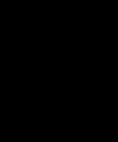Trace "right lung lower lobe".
Returning a JSON list of instances; mask_svg holds the SVG:
<instances>
[{
    "label": "right lung lower lobe",
    "instance_id": "98d812e1",
    "mask_svg": "<svg viewBox=\"0 0 118 142\" xmlns=\"http://www.w3.org/2000/svg\"><path fill=\"white\" fill-rule=\"evenodd\" d=\"M39 111H40V106L38 107L37 111L33 114V116H31L23 125H21L20 128L17 129V131L15 130L16 133L9 134L5 130L4 132L6 133V135L11 136L6 141L20 142L23 139V136L28 134L30 130L33 128L35 121H37Z\"/></svg>",
    "mask_w": 118,
    "mask_h": 142
}]
</instances>
